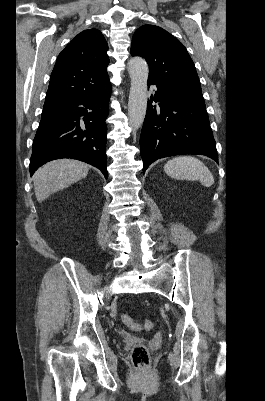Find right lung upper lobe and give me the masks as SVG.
I'll list each match as a JSON object with an SVG mask.
<instances>
[{
	"label": "right lung upper lobe",
	"mask_w": 265,
	"mask_h": 401,
	"mask_svg": "<svg viewBox=\"0 0 265 401\" xmlns=\"http://www.w3.org/2000/svg\"><path fill=\"white\" fill-rule=\"evenodd\" d=\"M108 45L99 30L79 33L58 55L44 107L98 92L108 86Z\"/></svg>",
	"instance_id": "right-lung-upper-lobe-1"
}]
</instances>
